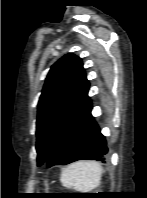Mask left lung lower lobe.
<instances>
[{
    "instance_id": "0a47b994",
    "label": "left lung lower lobe",
    "mask_w": 147,
    "mask_h": 198,
    "mask_svg": "<svg viewBox=\"0 0 147 198\" xmlns=\"http://www.w3.org/2000/svg\"><path fill=\"white\" fill-rule=\"evenodd\" d=\"M91 101L67 128L54 146L46 162L47 167L66 165L77 160L91 159L105 162L107 146L97 123L91 115Z\"/></svg>"
}]
</instances>
